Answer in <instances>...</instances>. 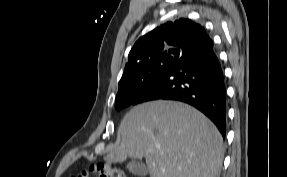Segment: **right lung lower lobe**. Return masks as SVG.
Masks as SVG:
<instances>
[{
  "label": "right lung lower lobe",
  "instance_id": "obj_1",
  "mask_svg": "<svg viewBox=\"0 0 287 177\" xmlns=\"http://www.w3.org/2000/svg\"><path fill=\"white\" fill-rule=\"evenodd\" d=\"M177 100L204 113L226 135V87L213 41L206 31L187 45L178 63L145 89L131 104Z\"/></svg>",
  "mask_w": 287,
  "mask_h": 177
}]
</instances>
